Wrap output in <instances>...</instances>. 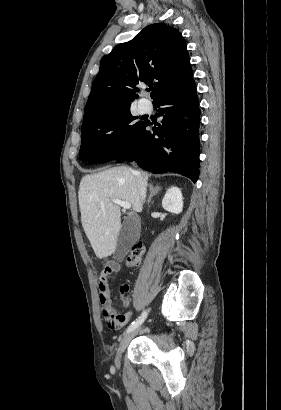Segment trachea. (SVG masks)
Wrapping results in <instances>:
<instances>
[{"label": "trachea", "mask_w": 281, "mask_h": 410, "mask_svg": "<svg viewBox=\"0 0 281 410\" xmlns=\"http://www.w3.org/2000/svg\"><path fill=\"white\" fill-rule=\"evenodd\" d=\"M152 90V88H149L148 91Z\"/></svg>", "instance_id": "trachea-1"}]
</instances>
